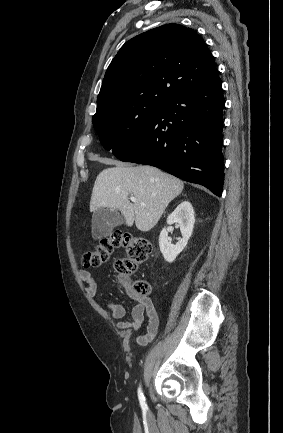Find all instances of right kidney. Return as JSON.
Here are the masks:
<instances>
[{"instance_id":"right-kidney-1","label":"right kidney","mask_w":283,"mask_h":433,"mask_svg":"<svg viewBox=\"0 0 283 433\" xmlns=\"http://www.w3.org/2000/svg\"><path fill=\"white\" fill-rule=\"evenodd\" d=\"M195 217L192 204L188 201L180 203L176 209L168 216L167 224L176 223L180 227L182 239L175 245L168 238V231L163 228L159 236L160 251L167 262H173L176 257L186 247L189 238L192 235Z\"/></svg>"}]
</instances>
